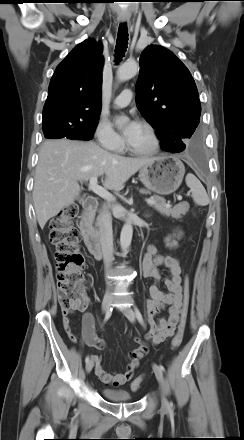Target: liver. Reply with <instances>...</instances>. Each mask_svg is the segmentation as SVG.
<instances>
[{"mask_svg":"<svg viewBox=\"0 0 244 440\" xmlns=\"http://www.w3.org/2000/svg\"><path fill=\"white\" fill-rule=\"evenodd\" d=\"M155 158H127L110 153L92 141H45L36 166L33 202L43 229L49 219L79 196L78 181L105 174L103 186L120 191L126 181Z\"/></svg>","mask_w":244,"mask_h":440,"instance_id":"obj_1","label":"liver"}]
</instances>
